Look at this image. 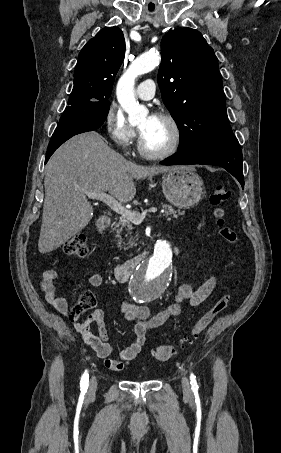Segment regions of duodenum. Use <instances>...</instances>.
Instances as JSON below:
<instances>
[{"instance_id":"410a0bca","label":"duodenum","mask_w":281,"mask_h":453,"mask_svg":"<svg viewBox=\"0 0 281 453\" xmlns=\"http://www.w3.org/2000/svg\"><path fill=\"white\" fill-rule=\"evenodd\" d=\"M110 223L111 221L109 218H100L96 223L97 232L104 233L110 226ZM147 254L148 251H145L123 263L118 264L114 269L115 278L119 282H126Z\"/></svg>"}]
</instances>
